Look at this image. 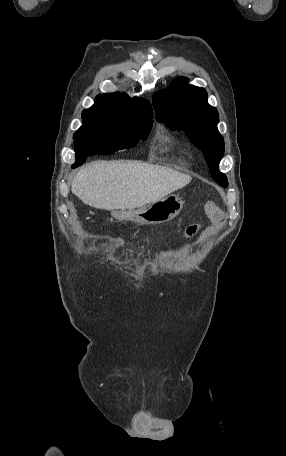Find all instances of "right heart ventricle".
Returning a JSON list of instances; mask_svg holds the SVG:
<instances>
[{
  "label": "right heart ventricle",
  "instance_id": "right-heart-ventricle-1",
  "mask_svg": "<svg viewBox=\"0 0 286 456\" xmlns=\"http://www.w3.org/2000/svg\"><path fill=\"white\" fill-rule=\"evenodd\" d=\"M170 143H171V138L168 136L164 137L161 141V144L165 147V150H167Z\"/></svg>",
  "mask_w": 286,
  "mask_h": 456
}]
</instances>
